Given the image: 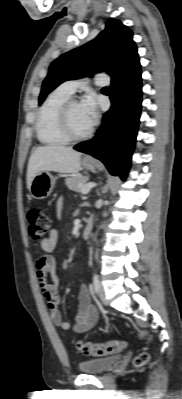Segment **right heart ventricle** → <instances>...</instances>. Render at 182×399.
Returning a JSON list of instances; mask_svg holds the SVG:
<instances>
[{"mask_svg": "<svg viewBox=\"0 0 182 399\" xmlns=\"http://www.w3.org/2000/svg\"><path fill=\"white\" fill-rule=\"evenodd\" d=\"M71 94L60 87L52 91L39 109L36 121L38 140L48 146H59L68 143L59 126V112Z\"/></svg>", "mask_w": 182, "mask_h": 399, "instance_id": "e07e8e85", "label": "right heart ventricle"}]
</instances>
